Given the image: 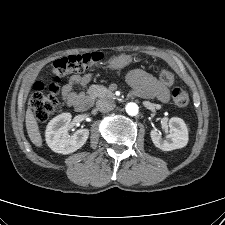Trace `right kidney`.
I'll list each match as a JSON object with an SVG mask.
<instances>
[{
	"label": "right kidney",
	"mask_w": 225,
	"mask_h": 225,
	"mask_svg": "<svg viewBox=\"0 0 225 225\" xmlns=\"http://www.w3.org/2000/svg\"><path fill=\"white\" fill-rule=\"evenodd\" d=\"M71 118L70 113H62L53 118L46 127V143L56 153H73L81 148L88 139V129H79L72 136L68 135Z\"/></svg>",
	"instance_id": "right-kidney-1"
}]
</instances>
